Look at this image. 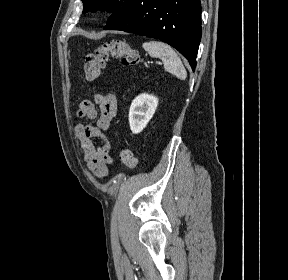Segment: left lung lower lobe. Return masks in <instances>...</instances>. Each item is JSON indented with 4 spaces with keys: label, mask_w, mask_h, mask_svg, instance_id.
I'll list each match as a JSON object with an SVG mask.
<instances>
[{
    "label": "left lung lower lobe",
    "mask_w": 288,
    "mask_h": 280,
    "mask_svg": "<svg viewBox=\"0 0 288 280\" xmlns=\"http://www.w3.org/2000/svg\"><path fill=\"white\" fill-rule=\"evenodd\" d=\"M200 0H134L105 30H121L159 39L177 49L196 67L201 39Z\"/></svg>",
    "instance_id": "left-lung-lower-lobe-1"
}]
</instances>
